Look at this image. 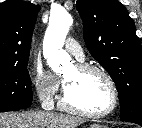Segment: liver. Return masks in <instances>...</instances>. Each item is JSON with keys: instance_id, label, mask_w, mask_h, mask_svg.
I'll use <instances>...</instances> for the list:
<instances>
[{"instance_id": "1", "label": "liver", "mask_w": 142, "mask_h": 128, "mask_svg": "<svg viewBox=\"0 0 142 128\" xmlns=\"http://www.w3.org/2000/svg\"><path fill=\"white\" fill-rule=\"evenodd\" d=\"M77 117L46 111L0 113V128H76Z\"/></svg>"}]
</instances>
